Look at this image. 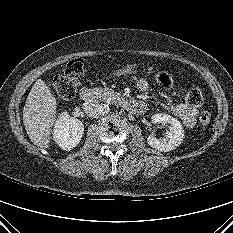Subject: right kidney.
<instances>
[{"instance_id":"1","label":"right kidney","mask_w":233,"mask_h":233,"mask_svg":"<svg viewBox=\"0 0 233 233\" xmlns=\"http://www.w3.org/2000/svg\"><path fill=\"white\" fill-rule=\"evenodd\" d=\"M83 132V123L63 112L55 123L53 138L61 149L70 151L79 144Z\"/></svg>"}]
</instances>
